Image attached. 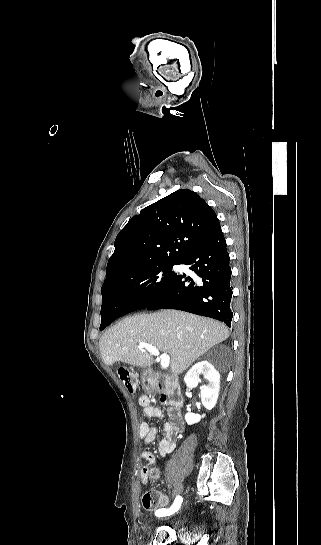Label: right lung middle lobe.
<instances>
[{"mask_svg": "<svg viewBox=\"0 0 321 545\" xmlns=\"http://www.w3.org/2000/svg\"><path fill=\"white\" fill-rule=\"evenodd\" d=\"M175 264H162L152 268L132 273L116 286L101 289L104 305L113 296L130 297L142 304H149L157 298L178 275L172 272V267ZM102 322L100 330L105 324Z\"/></svg>", "mask_w": 321, "mask_h": 545, "instance_id": "dd1d6c3e", "label": "right lung middle lobe"}]
</instances>
